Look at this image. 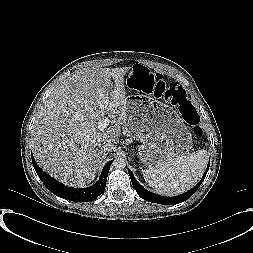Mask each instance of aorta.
<instances>
[{"label":"aorta","mask_w":253,"mask_h":253,"mask_svg":"<svg viewBox=\"0 0 253 253\" xmlns=\"http://www.w3.org/2000/svg\"><path fill=\"white\" fill-rule=\"evenodd\" d=\"M127 161L122 157H116L113 161V166L117 169H123L126 167Z\"/></svg>","instance_id":"762f6f07"}]
</instances>
